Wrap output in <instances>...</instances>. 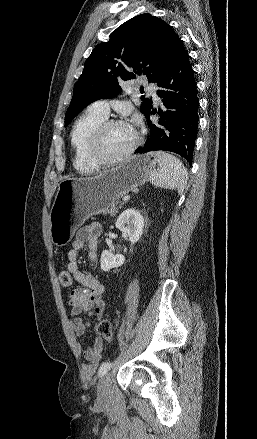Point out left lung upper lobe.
Instances as JSON below:
<instances>
[{
  "label": "left lung upper lobe",
  "mask_w": 257,
  "mask_h": 439,
  "mask_svg": "<svg viewBox=\"0 0 257 439\" xmlns=\"http://www.w3.org/2000/svg\"><path fill=\"white\" fill-rule=\"evenodd\" d=\"M179 37L162 19L140 14L119 26L110 40L97 45L85 62L83 73L73 89L65 126L88 104L112 98L123 81L146 75L157 82L167 67ZM141 112L152 108V100L142 98Z\"/></svg>",
  "instance_id": "5c2ea615"
}]
</instances>
